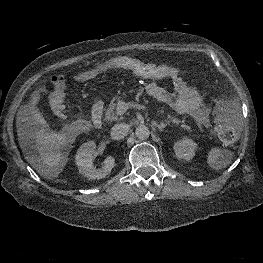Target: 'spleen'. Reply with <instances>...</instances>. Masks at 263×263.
<instances>
[{"mask_svg":"<svg viewBox=\"0 0 263 263\" xmlns=\"http://www.w3.org/2000/svg\"><path fill=\"white\" fill-rule=\"evenodd\" d=\"M231 161L230 153L219 147H213L207 155V163L214 169L225 168Z\"/></svg>","mask_w":263,"mask_h":263,"instance_id":"1","label":"spleen"}]
</instances>
